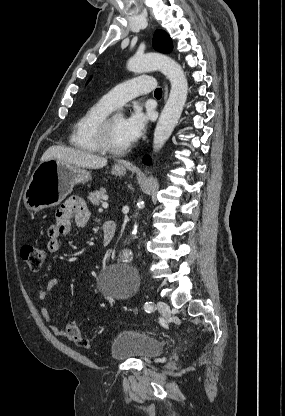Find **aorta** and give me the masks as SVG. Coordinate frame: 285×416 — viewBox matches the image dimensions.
Listing matches in <instances>:
<instances>
[{
	"label": "aorta",
	"mask_w": 285,
	"mask_h": 416,
	"mask_svg": "<svg viewBox=\"0 0 285 416\" xmlns=\"http://www.w3.org/2000/svg\"><path fill=\"white\" fill-rule=\"evenodd\" d=\"M127 67L134 73H143L159 70L170 81L171 90L168 100L161 112L157 122L153 150L159 151L172 134L181 116L188 94V82L181 66L173 59L157 54L148 53L139 57H133L128 61ZM143 201H138V206L143 205ZM137 215V214H136ZM137 226H134L133 234H136ZM128 255L125 254V259Z\"/></svg>",
	"instance_id": "obj_1"
}]
</instances>
